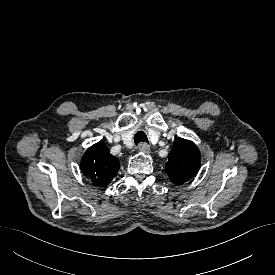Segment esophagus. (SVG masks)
<instances>
[{
	"label": "esophagus",
	"mask_w": 275,
	"mask_h": 275,
	"mask_svg": "<svg viewBox=\"0 0 275 275\" xmlns=\"http://www.w3.org/2000/svg\"><path fill=\"white\" fill-rule=\"evenodd\" d=\"M139 151L145 154H148L150 152V146L147 143H140L138 147Z\"/></svg>",
	"instance_id": "1"
}]
</instances>
